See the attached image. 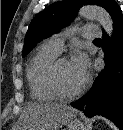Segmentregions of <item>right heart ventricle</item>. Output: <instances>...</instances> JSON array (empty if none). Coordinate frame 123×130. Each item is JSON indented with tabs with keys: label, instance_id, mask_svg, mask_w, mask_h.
I'll use <instances>...</instances> for the list:
<instances>
[{
	"label": "right heart ventricle",
	"instance_id": "obj_1",
	"mask_svg": "<svg viewBox=\"0 0 123 130\" xmlns=\"http://www.w3.org/2000/svg\"><path fill=\"white\" fill-rule=\"evenodd\" d=\"M58 55L59 52L44 43L38 47L29 63L27 80L31 95L37 101L50 102L58 99L50 82L51 65Z\"/></svg>",
	"mask_w": 123,
	"mask_h": 130
}]
</instances>
